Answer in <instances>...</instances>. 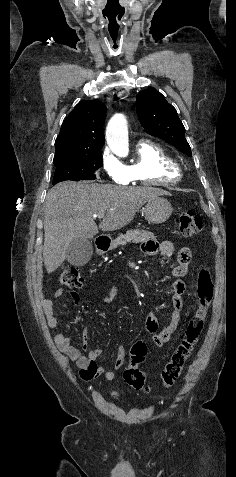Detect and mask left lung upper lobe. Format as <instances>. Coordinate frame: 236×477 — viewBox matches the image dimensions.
<instances>
[{
  "mask_svg": "<svg viewBox=\"0 0 236 477\" xmlns=\"http://www.w3.org/2000/svg\"><path fill=\"white\" fill-rule=\"evenodd\" d=\"M136 109L139 121L148 134L161 138L192 157L191 148L185 138L184 125L176 109L160 92L153 89L141 91L136 99Z\"/></svg>",
  "mask_w": 236,
  "mask_h": 477,
  "instance_id": "left-lung-upper-lobe-1",
  "label": "left lung upper lobe"
}]
</instances>
